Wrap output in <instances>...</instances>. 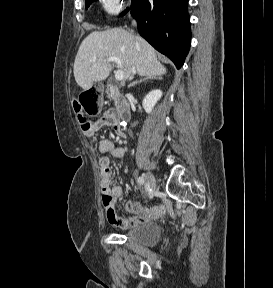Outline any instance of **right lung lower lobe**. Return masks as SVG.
Listing matches in <instances>:
<instances>
[{
    "label": "right lung lower lobe",
    "instance_id": "98d812e1",
    "mask_svg": "<svg viewBox=\"0 0 273 288\" xmlns=\"http://www.w3.org/2000/svg\"><path fill=\"white\" fill-rule=\"evenodd\" d=\"M188 0H134L131 14L139 34L179 69L191 42Z\"/></svg>",
    "mask_w": 273,
    "mask_h": 288
}]
</instances>
